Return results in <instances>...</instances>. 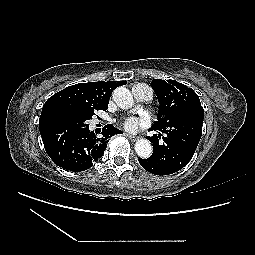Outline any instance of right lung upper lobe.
Instances as JSON below:
<instances>
[{"label": "right lung upper lobe", "instance_id": "cb5924a9", "mask_svg": "<svg viewBox=\"0 0 255 255\" xmlns=\"http://www.w3.org/2000/svg\"><path fill=\"white\" fill-rule=\"evenodd\" d=\"M126 81H99L69 86L51 96L44 104L39 124L57 111L82 113L107 110L112 91Z\"/></svg>", "mask_w": 255, "mask_h": 255}]
</instances>
